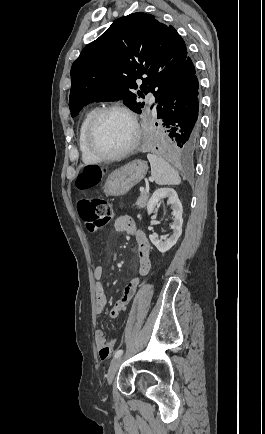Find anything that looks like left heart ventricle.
<instances>
[{
  "mask_svg": "<svg viewBox=\"0 0 265 434\" xmlns=\"http://www.w3.org/2000/svg\"><path fill=\"white\" fill-rule=\"evenodd\" d=\"M134 128L129 117L120 111L105 114L97 136L100 146L110 154L127 149L133 140Z\"/></svg>",
  "mask_w": 265,
  "mask_h": 434,
  "instance_id": "obj_1",
  "label": "left heart ventricle"
}]
</instances>
